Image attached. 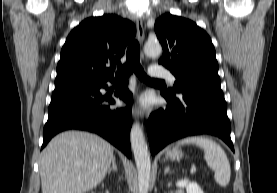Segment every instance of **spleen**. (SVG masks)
<instances>
[{
    "instance_id": "spleen-1",
    "label": "spleen",
    "mask_w": 277,
    "mask_h": 193,
    "mask_svg": "<svg viewBox=\"0 0 277 193\" xmlns=\"http://www.w3.org/2000/svg\"><path fill=\"white\" fill-rule=\"evenodd\" d=\"M196 144L204 151V159L208 166L214 171V179L221 187L228 185L231 176L230 164L222 147L213 140L202 137L192 136L184 138L178 145Z\"/></svg>"
}]
</instances>
